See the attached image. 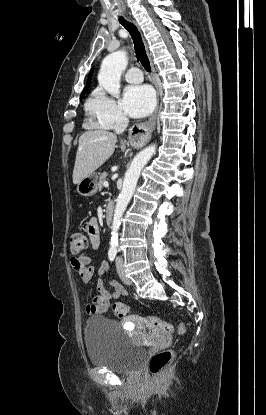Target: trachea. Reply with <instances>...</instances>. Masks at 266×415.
<instances>
[{
	"mask_svg": "<svg viewBox=\"0 0 266 415\" xmlns=\"http://www.w3.org/2000/svg\"><path fill=\"white\" fill-rule=\"evenodd\" d=\"M119 22L130 33L133 39L134 49H135L137 59L141 62L145 70L147 72H150L151 71L150 62L145 51L142 37L137 27L133 23L125 20L123 17H119Z\"/></svg>",
	"mask_w": 266,
	"mask_h": 415,
	"instance_id": "1",
	"label": "trachea"
}]
</instances>
